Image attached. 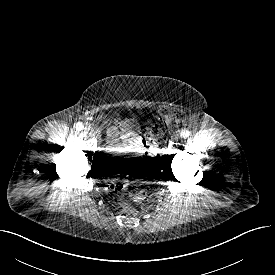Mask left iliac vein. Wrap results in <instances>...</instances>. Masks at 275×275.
Instances as JSON below:
<instances>
[{
	"mask_svg": "<svg viewBox=\"0 0 275 275\" xmlns=\"http://www.w3.org/2000/svg\"><path fill=\"white\" fill-rule=\"evenodd\" d=\"M178 139V136L177 135H174L173 136V140L176 141Z\"/></svg>",
	"mask_w": 275,
	"mask_h": 275,
	"instance_id": "obj_1",
	"label": "left iliac vein"
}]
</instances>
